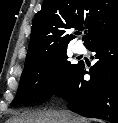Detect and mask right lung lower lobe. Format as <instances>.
<instances>
[{"instance_id":"1","label":"right lung lower lobe","mask_w":118,"mask_h":123,"mask_svg":"<svg viewBox=\"0 0 118 123\" xmlns=\"http://www.w3.org/2000/svg\"><path fill=\"white\" fill-rule=\"evenodd\" d=\"M88 49L96 53L98 61L89 72L80 63L70 80L54 95L66 100L70 109L82 116L118 123V33ZM86 73L91 77L89 81L83 79Z\"/></svg>"}]
</instances>
